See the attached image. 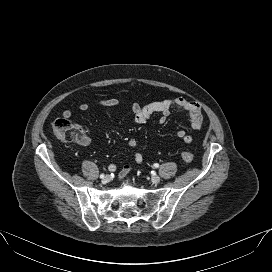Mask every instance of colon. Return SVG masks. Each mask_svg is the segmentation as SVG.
Returning <instances> with one entry per match:
<instances>
[{"mask_svg": "<svg viewBox=\"0 0 272 272\" xmlns=\"http://www.w3.org/2000/svg\"><path fill=\"white\" fill-rule=\"evenodd\" d=\"M52 131L57 138L63 141L79 142L85 138L82 127L65 117L53 122ZM181 158L184 162L190 163L193 160V154L185 150L181 153Z\"/></svg>", "mask_w": 272, "mask_h": 272, "instance_id": "colon-1", "label": "colon"}]
</instances>
